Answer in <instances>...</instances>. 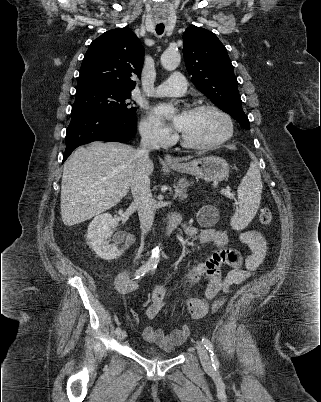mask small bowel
Returning a JSON list of instances; mask_svg holds the SVG:
<instances>
[{
  "mask_svg": "<svg viewBox=\"0 0 321 402\" xmlns=\"http://www.w3.org/2000/svg\"><path fill=\"white\" fill-rule=\"evenodd\" d=\"M185 232L188 237L199 244L212 243L217 248L208 258L194 265L184 276V283L187 286L193 285L205 277L208 280L205 289L207 299L214 298L220 291L229 293L232 286L241 284L250 278L260 267L266 255V238L258 230H246L239 236L240 242L251 250V254L247 257H242L235 249L228 246V235L223 230L186 226ZM224 266L231 268L225 277L221 274V268ZM137 287L138 283L130 277L128 270L122 271L116 278V288L121 294H129ZM166 292L165 286H154L146 310L149 319H156L165 308ZM201 302L189 298L185 299L183 304L191 316L200 317L203 313L196 314L195 310ZM222 304L223 300H217L213 303L212 309L215 311ZM188 335L189 329L186 325H180L170 334L151 326H146L142 330V336L146 342L156 344L164 350H171L174 346L183 343Z\"/></svg>",
  "mask_w": 321,
  "mask_h": 402,
  "instance_id": "c3829d8e",
  "label": "small bowel"
}]
</instances>
